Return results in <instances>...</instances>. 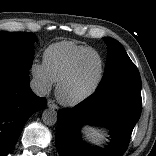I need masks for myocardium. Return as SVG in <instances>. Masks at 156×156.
Returning <instances> with one entry per match:
<instances>
[{"label": "myocardium", "mask_w": 156, "mask_h": 156, "mask_svg": "<svg viewBox=\"0 0 156 156\" xmlns=\"http://www.w3.org/2000/svg\"><path fill=\"white\" fill-rule=\"evenodd\" d=\"M89 54H96L100 59L101 68H100L99 77H98L97 81L95 82V84L88 91H86L85 93H83L82 95H80L76 98L68 99L63 95V89L74 77L80 62ZM104 77H105V61H104L103 56L95 49L85 51L82 54H80L73 61L70 68L68 69V71L57 82V86H56V90H55L56 97H57L58 101L65 106H69V107L77 106V105L85 102L89 98H91L99 90V88L104 80Z\"/></svg>", "instance_id": "myocardium-1"}]
</instances>
